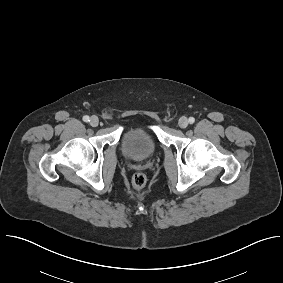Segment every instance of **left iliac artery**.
<instances>
[{"label":"left iliac artery","instance_id":"left-iliac-artery-1","mask_svg":"<svg viewBox=\"0 0 283 283\" xmlns=\"http://www.w3.org/2000/svg\"><path fill=\"white\" fill-rule=\"evenodd\" d=\"M188 121H189L190 124H193L195 122V118L194 117H190Z\"/></svg>","mask_w":283,"mask_h":283}]
</instances>
